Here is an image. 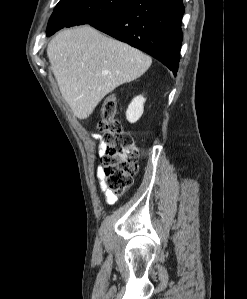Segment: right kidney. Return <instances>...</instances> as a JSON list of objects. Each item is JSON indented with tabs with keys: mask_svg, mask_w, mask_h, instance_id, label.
<instances>
[{
	"mask_svg": "<svg viewBox=\"0 0 247 299\" xmlns=\"http://www.w3.org/2000/svg\"><path fill=\"white\" fill-rule=\"evenodd\" d=\"M145 101L146 99L141 95L131 101L126 111V118L130 123H135L140 119L144 111Z\"/></svg>",
	"mask_w": 247,
	"mask_h": 299,
	"instance_id": "1",
	"label": "right kidney"
}]
</instances>
